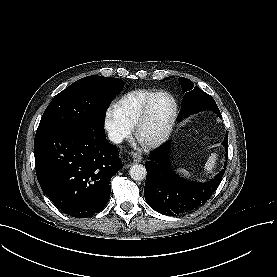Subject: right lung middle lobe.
<instances>
[{"mask_svg":"<svg viewBox=\"0 0 277 277\" xmlns=\"http://www.w3.org/2000/svg\"><path fill=\"white\" fill-rule=\"evenodd\" d=\"M119 78L87 76L61 91L47 106L37 132L103 127L105 112L120 92Z\"/></svg>","mask_w":277,"mask_h":277,"instance_id":"obj_1","label":"right lung middle lobe"}]
</instances>
